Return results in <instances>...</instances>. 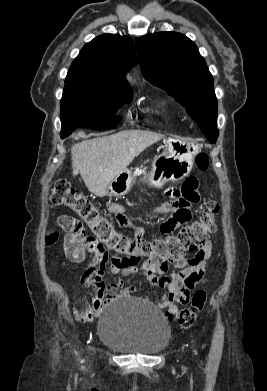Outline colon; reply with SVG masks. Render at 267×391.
Returning <instances> with one entry per match:
<instances>
[{"instance_id":"obj_1","label":"colon","mask_w":267,"mask_h":391,"mask_svg":"<svg viewBox=\"0 0 267 391\" xmlns=\"http://www.w3.org/2000/svg\"><path fill=\"white\" fill-rule=\"evenodd\" d=\"M195 161L199 170L208 169L207 154H198ZM50 201L55 206L64 207L73 212L89 227L91 235H87L85 240L88 252L102 255L113 254L124 265L142 263L152 269L165 262L178 261L186 253L199 251L205 246L211 234L216 230V218L220 211L215 201H208L206 208L197 219L182 226L177 233L144 240L131 238L117 231L109 218L89 198L71 187L65 180L54 184L50 193ZM56 238V234H51L47 242L53 243ZM206 299V291L197 290L189 307L179 309L170 304L169 318L181 325H191L203 310Z\"/></svg>"}]
</instances>
